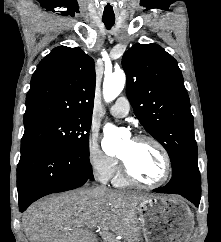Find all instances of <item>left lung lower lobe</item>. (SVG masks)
<instances>
[{
  "mask_svg": "<svg viewBox=\"0 0 221 242\" xmlns=\"http://www.w3.org/2000/svg\"><path fill=\"white\" fill-rule=\"evenodd\" d=\"M153 191L182 195L198 207L201 198V182L197 161L188 162L180 167L166 186Z\"/></svg>",
  "mask_w": 221,
  "mask_h": 242,
  "instance_id": "left-lung-lower-lobe-1",
  "label": "left lung lower lobe"
}]
</instances>
